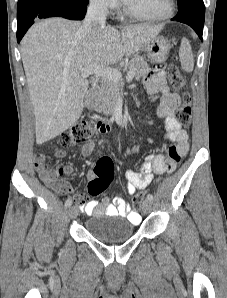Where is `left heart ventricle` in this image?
<instances>
[{
    "instance_id": "1",
    "label": "left heart ventricle",
    "mask_w": 227,
    "mask_h": 298,
    "mask_svg": "<svg viewBox=\"0 0 227 298\" xmlns=\"http://www.w3.org/2000/svg\"><path fill=\"white\" fill-rule=\"evenodd\" d=\"M126 6L133 12L144 16H157L167 9V0H126Z\"/></svg>"
}]
</instances>
